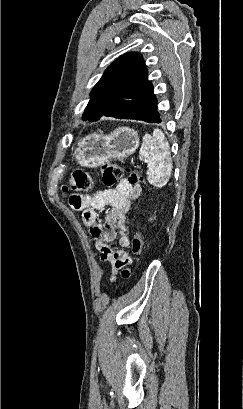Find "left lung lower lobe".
Listing matches in <instances>:
<instances>
[{"mask_svg":"<svg viewBox=\"0 0 243 409\" xmlns=\"http://www.w3.org/2000/svg\"><path fill=\"white\" fill-rule=\"evenodd\" d=\"M125 108V112L121 115L106 112L103 116L115 117L119 119H135L148 123L161 122L159 113L157 112V99L153 91L141 101L135 104H129Z\"/></svg>","mask_w":243,"mask_h":409,"instance_id":"0a47b994","label":"left lung lower lobe"}]
</instances>
